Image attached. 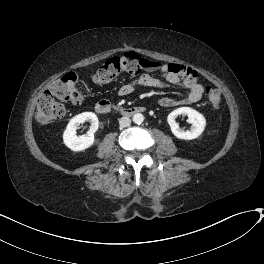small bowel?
<instances>
[{
  "instance_id": "c3829d8e",
  "label": "small bowel",
  "mask_w": 264,
  "mask_h": 264,
  "mask_svg": "<svg viewBox=\"0 0 264 264\" xmlns=\"http://www.w3.org/2000/svg\"><path fill=\"white\" fill-rule=\"evenodd\" d=\"M144 67L149 72L160 71L164 81L148 74L142 75L134 81L122 85L118 90L120 95H129L139 87L162 89L171 86L186 92L187 95L181 99L161 98L160 104L164 107L189 105L198 102L202 98L204 87L198 82L192 68L179 64H163L157 60L149 59L144 61Z\"/></svg>"
}]
</instances>
